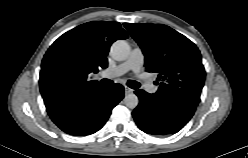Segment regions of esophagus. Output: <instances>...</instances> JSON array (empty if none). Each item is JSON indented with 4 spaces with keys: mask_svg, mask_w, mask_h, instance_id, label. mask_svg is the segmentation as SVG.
Wrapping results in <instances>:
<instances>
[{
    "mask_svg": "<svg viewBox=\"0 0 248 158\" xmlns=\"http://www.w3.org/2000/svg\"><path fill=\"white\" fill-rule=\"evenodd\" d=\"M132 92H133V90L131 88L125 86V94H130Z\"/></svg>",
    "mask_w": 248,
    "mask_h": 158,
    "instance_id": "obj_1",
    "label": "esophagus"
}]
</instances>
